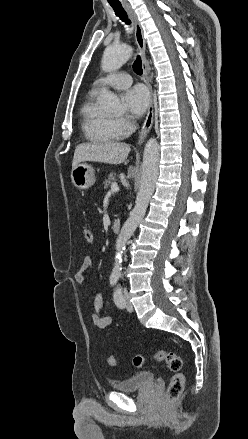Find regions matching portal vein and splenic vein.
<instances>
[{
  "label": "portal vein and splenic vein",
  "instance_id": "obj_1",
  "mask_svg": "<svg viewBox=\"0 0 248 439\" xmlns=\"http://www.w3.org/2000/svg\"><path fill=\"white\" fill-rule=\"evenodd\" d=\"M119 191V186L116 182L111 184V189L108 193H114Z\"/></svg>",
  "mask_w": 248,
  "mask_h": 439
}]
</instances>
